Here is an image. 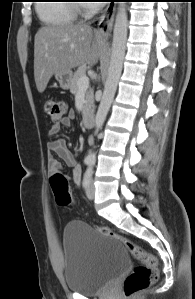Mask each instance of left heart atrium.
I'll list each match as a JSON object with an SVG mask.
<instances>
[{
	"label": "left heart atrium",
	"instance_id": "obj_1",
	"mask_svg": "<svg viewBox=\"0 0 195 299\" xmlns=\"http://www.w3.org/2000/svg\"><path fill=\"white\" fill-rule=\"evenodd\" d=\"M93 3H91V6H101L102 2L101 1H97V0H93Z\"/></svg>",
	"mask_w": 195,
	"mask_h": 299
}]
</instances>
